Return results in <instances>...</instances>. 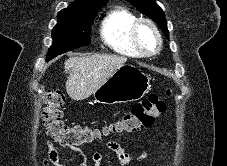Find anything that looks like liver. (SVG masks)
<instances>
[{
  "label": "liver",
  "instance_id": "6515ba94",
  "mask_svg": "<svg viewBox=\"0 0 227 166\" xmlns=\"http://www.w3.org/2000/svg\"><path fill=\"white\" fill-rule=\"evenodd\" d=\"M126 61V57L109 54L70 57L64 62L69 73L67 94L76 101L87 99Z\"/></svg>",
  "mask_w": 227,
  "mask_h": 166
}]
</instances>
